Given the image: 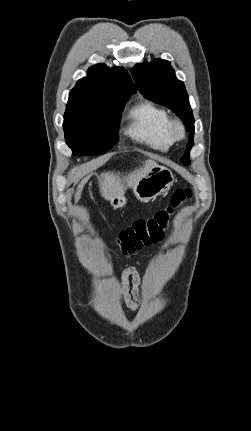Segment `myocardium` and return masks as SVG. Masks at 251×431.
Wrapping results in <instances>:
<instances>
[{
  "instance_id": "myocardium-1",
  "label": "myocardium",
  "mask_w": 251,
  "mask_h": 431,
  "mask_svg": "<svg viewBox=\"0 0 251 431\" xmlns=\"http://www.w3.org/2000/svg\"><path fill=\"white\" fill-rule=\"evenodd\" d=\"M168 130L173 140H181L186 135V130L183 122L177 118L169 120Z\"/></svg>"
}]
</instances>
